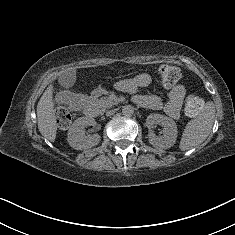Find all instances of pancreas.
Here are the masks:
<instances>
[{
	"mask_svg": "<svg viewBox=\"0 0 235 235\" xmlns=\"http://www.w3.org/2000/svg\"><path fill=\"white\" fill-rule=\"evenodd\" d=\"M103 102H107V100H103Z\"/></svg>",
	"mask_w": 235,
	"mask_h": 235,
	"instance_id": "cf45deb5",
	"label": "pancreas"
}]
</instances>
